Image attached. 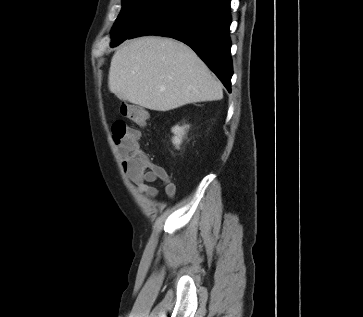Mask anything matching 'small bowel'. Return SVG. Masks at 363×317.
<instances>
[{
  "label": "small bowel",
  "instance_id": "1",
  "mask_svg": "<svg viewBox=\"0 0 363 317\" xmlns=\"http://www.w3.org/2000/svg\"><path fill=\"white\" fill-rule=\"evenodd\" d=\"M145 158V164L140 169H133L129 166L125 167L130 180L135 184L138 192L151 198L157 197L158 189L150 185V183L160 180L165 186L167 196L172 198L175 194V185L167 172L162 167L152 163L146 156Z\"/></svg>",
  "mask_w": 363,
  "mask_h": 317
}]
</instances>
